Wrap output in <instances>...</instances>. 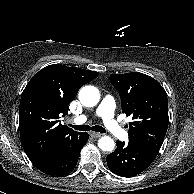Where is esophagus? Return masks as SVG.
Masks as SVG:
<instances>
[{"mask_svg":"<svg viewBox=\"0 0 194 194\" xmlns=\"http://www.w3.org/2000/svg\"><path fill=\"white\" fill-rule=\"evenodd\" d=\"M90 135H91L93 138H99V137H101L103 134H102V133H98V132H91Z\"/></svg>","mask_w":194,"mask_h":194,"instance_id":"1","label":"esophagus"}]
</instances>
